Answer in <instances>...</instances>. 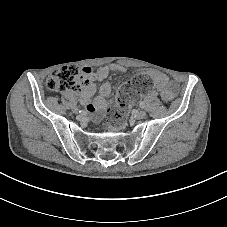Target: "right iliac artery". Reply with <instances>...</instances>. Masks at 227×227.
Segmentation results:
<instances>
[{
  "label": "right iliac artery",
  "mask_w": 227,
  "mask_h": 227,
  "mask_svg": "<svg viewBox=\"0 0 227 227\" xmlns=\"http://www.w3.org/2000/svg\"><path fill=\"white\" fill-rule=\"evenodd\" d=\"M79 113H80V114H81V116H82V117H84V118H85V117H87V116H88V114H89V113H88V111H87V110H85V109H84V110H79Z\"/></svg>",
  "instance_id": "82829eb1"
}]
</instances>
